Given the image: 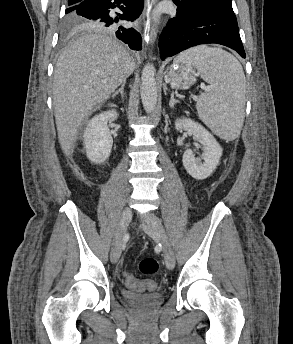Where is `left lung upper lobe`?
I'll return each instance as SVG.
<instances>
[{"mask_svg":"<svg viewBox=\"0 0 293 344\" xmlns=\"http://www.w3.org/2000/svg\"><path fill=\"white\" fill-rule=\"evenodd\" d=\"M188 1H196L200 7L211 11L228 22L231 26L238 29L236 16L232 9V0H185L182 2L186 3Z\"/></svg>","mask_w":293,"mask_h":344,"instance_id":"1","label":"left lung upper lobe"}]
</instances>
